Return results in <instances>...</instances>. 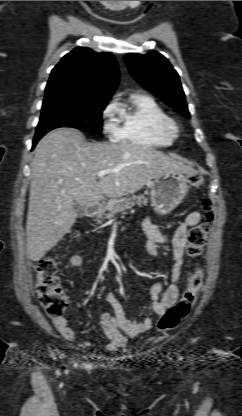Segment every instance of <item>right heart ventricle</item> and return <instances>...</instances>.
I'll use <instances>...</instances> for the list:
<instances>
[{
  "instance_id": "1",
  "label": "right heart ventricle",
  "mask_w": 242,
  "mask_h": 416,
  "mask_svg": "<svg viewBox=\"0 0 242 416\" xmlns=\"http://www.w3.org/2000/svg\"><path fill=\"white\" fill-rule=\"evenodd\" d=\"M116 106L121 122L115 136L118 142L145 147H166L174 142L175 137L163 128L167 114L151 96L133 93Z\"/></svg>"
}]
</instances>
